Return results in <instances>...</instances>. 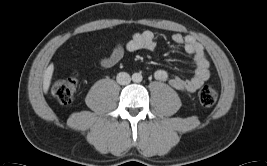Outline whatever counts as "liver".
Instances as JSON below:
<instances>
[{
    "mask_svg": "<svg viewBox=\"0 0 267 166\" xmlns=\"http://www.w3.org/2000/svg\"><path fill=\"white\" fill-rule=\"evenodd\" d=\"M53 71H54V65L52 63L44 71V75H43V91H44V93L48 92V89H49L50 83H51V78L53 75Z\"/></svg>",
    "mask_w": 267,
    "mask_h": 166,
    "instance_id": "6515ba94",
    "label": "liver"
}]
</instances>
